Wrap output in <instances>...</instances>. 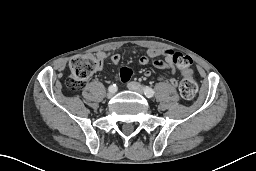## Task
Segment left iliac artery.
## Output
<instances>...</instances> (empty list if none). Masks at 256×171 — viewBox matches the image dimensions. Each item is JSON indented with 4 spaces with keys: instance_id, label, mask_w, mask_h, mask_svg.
Returning <instances> with one entry per match:
<instances>
[{
    "instance_id": "1",
    "label": "left iliac artery",
    "mask_w": 256,
    "mask_h": 171,
    "mask_svg": "<svg viewBox=\"0 0 256 171\" xmlns=\"http://www.w3.org/2000/svg\"><path fill=\"white\" fill-rule=\"evenodd\" d=\"M144 93L145 95L148 97V98H151L154 96L155 92L152 88L148 87V86H145L144 87Z\"/></svg>"
}]
</instances>
